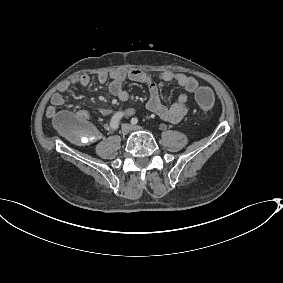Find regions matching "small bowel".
Here are the masks:
<instances>
[{
	"mask_svg": "<svg viewBox=\"0 0 283 283\" xmlns=\"http://www.w3.org/2000/svg\"><path fill=\"white\" fill-rule=\"evenodd\" d=\"M109 79L111 80L109 84L110 93L121 101H126L129 97L128 92L123 87L126 81L147 84L149 87V98L146 103L147 110L170 123H178L186 116L188 112V96L189 94L198 91V82L194 77L172 71L162 72L158 76L160 81L175 82L184 90V92L178 96L174 103H172L170 106H166L162 101L158 82L153 76L142 70L135 68L118 69L109 74L101 73L97 76V80L101 84L106 83ZM90 82L91 80L88 75L81 74L73 77L71 80L61 83L58 91L51 97V105L46 109V116L55 120L59 113L58 108L65 104V93L69 90V88L72 85L87 87ZM101 113L104 116H109L111 114V112L107 109H102ZM134 113L135 110L132 108L125 110L126 116L133 115ZM77 116L87 120L89 114L86 110H80L77 112Z\"/></svg>",
	"mask_w": 283,
	"mask_h": 283,
	"instance_id": "small-bowel-1",
	"label": "small bowel"
}]
</instances>
